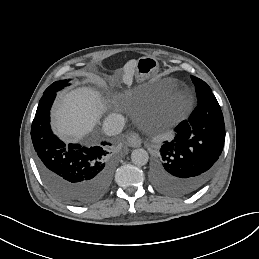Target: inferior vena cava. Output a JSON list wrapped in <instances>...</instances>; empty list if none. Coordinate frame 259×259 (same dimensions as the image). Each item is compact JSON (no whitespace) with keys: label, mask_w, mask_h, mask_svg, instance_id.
<instances>
[{"label":"inferior vena cava","mask_w":259,"mask_h":259,"mask_svg":"<svg viewBox=\"0 0 259 259\" xmlns=\"http://www.w3.org/2000/svg\"><path fill=\"white\" fill-rule=\"evenodd\" d=\"M124 124L125 121L122 115L111 113L106 117L103 128L107 135H117L122 131Z\"/></svg>","instance_id":"inferior-vena-cava-1"}]
</instances>
